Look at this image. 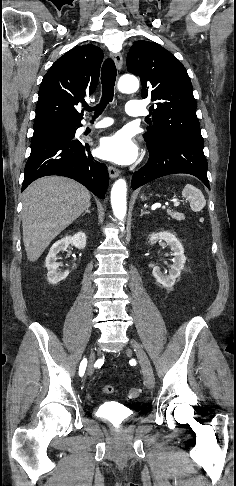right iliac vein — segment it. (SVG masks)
I'll list each match as a JSON object with an SVG mask.
<instances>
[{
  "label": "right iliac vein",
  "instance_id": "1",
  "mask_svg": "<svg viewBox=\"0 0 236 486\" xmlns=\"http://www.w3.org/2000/svg\"><path fill=\"white\" fill-rule=\"evenodd\" d=\"M94 360H95V354L93 352L91 354L90 362H89L88 369H87V372H88L89 375H92L93 372H94V367H93Z\"/></svg>",
  "mask_w": 236,
  "mask_h": 486
}]
</instances>
